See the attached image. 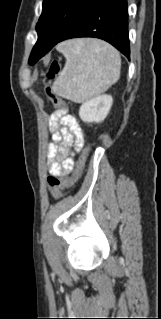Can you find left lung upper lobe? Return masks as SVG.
I'll return each instance as SVG.
<instances>
[{
  "label": "left lung upper lobe",
  "instance_id": "left-lung-upper-lobe-1",
  "mask_svg": "<svg viewBox=\"0 0 161 319\" xmlns=\"http://www.w3.org/2000/svg\"><path fill=\"white\" fill-rule=\"evenodd\" d=\"M98 0H43L36 25L38 40L29 64L33 65L55 46L72 25Z\"/></svg>",
  "mask_w": 161,
  "mask_h": 319
}]
</instances>
